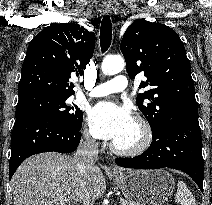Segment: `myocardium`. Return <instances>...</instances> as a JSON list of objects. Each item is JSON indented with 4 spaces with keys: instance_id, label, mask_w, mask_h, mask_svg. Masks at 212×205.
Wrapping results in <instances>:
<instances>
[{
    "instance_id": "1",
    "label": "myocardium",
    "mask_w": 212,
    "mask_h": 205,
    "mask_svg": "<svg viewBox=\"0 0 212 205\" xmlns=\"http://www.w3.org/2000/svg\"><path fill=\"white\" fill-rule=\"evenodd\" d=\"M134 122L140 129L139 141L130 147H120L113 142L111 149L114 153L122 156H137L144 153L151 146L153 142V131L150 123L141 116L135 117Z\"/></svg>"
}]
</instances>
